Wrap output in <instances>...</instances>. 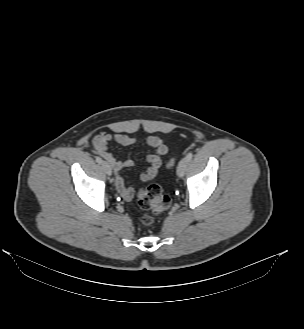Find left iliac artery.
Here are the masks:
<instances>
[{"label": "left iliac artery", "mask_w": 304, "mask_h": 329, "mask_svg": "<svg viewBox=\"0 0 304 329\" xmlns=\"http://www.w3.org/2000/svg\"><path fill=\"white\" fill-rule=\"evenodd\" d=\"M192 157H193V154H192L191 152H189V153L186 155V159H187L188 161H190V160L192 159Z\"/></svg>", "instance_id": "obj_1"}]
</instances>
